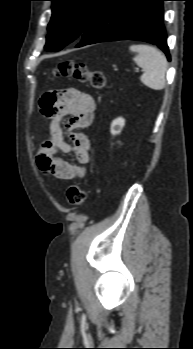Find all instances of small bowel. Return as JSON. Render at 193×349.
Here are the masks:
<instances>
[{"label":"small bowel","instance_id":"c3829d8e","mask_svg":"<svg viewBox=\"0 0 193 349\" xmlns=\"http://www.w3.org/2000/svg\"><path fill=\"white\" fill-rule=\"evenodd\" d=\"M42 113L50 119L48 136L39 147L37 163L39 168L58 179H82L86 175V165L90 161V141L79 130L89 127L94 119L95 101L84 91L68 88L59 91L58 100L52 113L42 108ZM67 116L70 119L64 123ZM69 141L65 140L64 127ZM72 153L77 164H71L60 154Z\"/></svg>","mask_w":193,"mask_h":349}]
</instances>
